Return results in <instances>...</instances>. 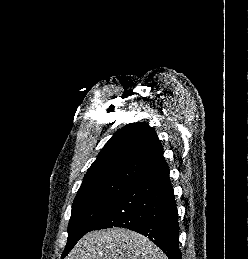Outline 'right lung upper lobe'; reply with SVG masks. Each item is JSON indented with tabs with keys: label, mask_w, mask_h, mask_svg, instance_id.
I'll list each match as a JSON object with an SVG mask.
<instances>
[{
	"label": "right lung upper lobe",
	"mask_w": 248,
	"mask_h": 259,
	"mask_svg": "<svg viewBox=\"0 0 248 259\" xmlns=\"http://www.w3.org/2000/svg\"><path fill=\"white\" fill-rule=\"evenodd\" d=\"M167 167L155 131L145 123H132L118 130L106 143L81 187L109 181L134 184Z\"/></svg>",
	"instance_id": "right-lung-upper-lobe-1"
}]
</instances>
